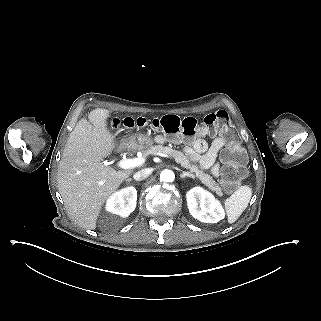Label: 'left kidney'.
Instances as JSON below:
<instances>
[{"label":"left kidney","mask_w":321,"mask_h":321,"mask_svg":"<svg viewBox=\"0 0 321 321\" xmlns=\"http://www.w3.org/2000/svg\"><path fill=\"white\" fill-rule=\"evenodd\" d=\"M190 214L201 222L216 223L224 218V211L214 197L201 187H194L187 193Z\"/></svg>","instance_id":"obj_1"}]
</instances>
